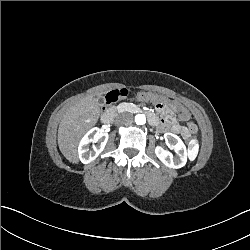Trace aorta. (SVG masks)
I'll return each mask as SVG.
<instances>
[{"instance_id": "762f6f07", "label": "aorta", "mask_w": 250, "mask_h": 250, "mask_svg": "<svg viewBox=\"0 0 250 250\" xmlns=\"http://www.w3.org/2000/svg\"><path fill=\"white\" fill-rule=\"evenodd\" d=\"M135 123L137 125H144L146 123V116L144 114H137L135 116Z\"/></svg>"}]
</instances>
